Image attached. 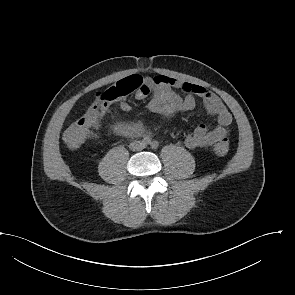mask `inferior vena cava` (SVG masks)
Returning <instances> with one entry per match:
<instances>
[{
    "label": "inferior vena cava",
    "mask_w": 295,
    "mask_h": 295,
    "mask_svg": "<svg viewBox=\"0 0 295 295\" xmlns=\"http://www.w3.org/2000/svg\"><path fill=\"white\" fill-rule=\"evenodd\" d=\"M130 148L134 151L135 150L139 151L144 148V145L140 141H134L133 143L130 144Z\"/></svg>",
    "instance_id": "602c4592"
}]
</instances>
